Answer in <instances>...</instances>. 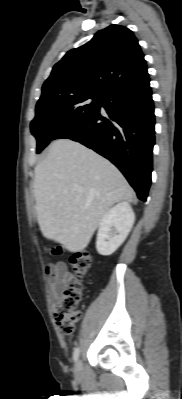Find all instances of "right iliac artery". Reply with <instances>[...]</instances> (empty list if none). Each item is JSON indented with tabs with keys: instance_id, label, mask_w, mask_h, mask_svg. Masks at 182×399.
I'll return each mask as SVG.
<instances>
[{
	"instance_id": "obj_1",
	"label": "right iliac artery",
	"mask_w": 182,
	"mask_h": 399,
	"mask_svg": "<svg viewBox=\"0 0 182 399\" xmlns=\"http://www.w3.org/2000/svg\"><path fill=\"white\" fill-rule=\"evenodd\" d=\"M79 354H80V349L77 347V348H75L74 353H73V360L74 361L78 360Z\"/></svg>"
}]
</instances>
